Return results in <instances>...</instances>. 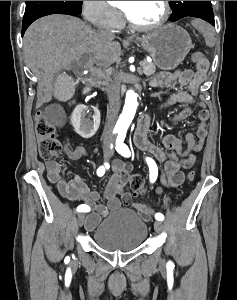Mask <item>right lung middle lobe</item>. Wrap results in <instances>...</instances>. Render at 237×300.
I'll use <instances>...</instances> for the list:
<instances>
[{
    "instance_id": "right-lung-middle-lobe-1",
    "label": "right lung middle lobe",
    "mask_w": 237,
    "mask_h": 300,
    "mask_svg": "<svg viewBox=\"0 0 237 300\" xmlns=\"http://www.w3.org/2000/svg\"><path fill=\"white\" fill-rule=\"evenodd\" d=\"M61 11L81 13V1H26L23 22L34 21L42 16Z\"/></svg>"
}]
</instances>
